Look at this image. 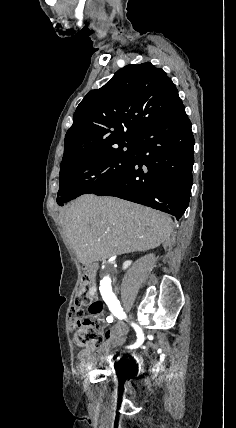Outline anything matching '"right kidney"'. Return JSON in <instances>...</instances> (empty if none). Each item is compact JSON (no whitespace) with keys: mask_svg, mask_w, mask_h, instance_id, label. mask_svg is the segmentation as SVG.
<instances>
[{"mask_svg":"<svg viewBox=\"0 0 236 428\" xmlns=\"http://www.w3.org/2000/svg\"><path fill=\"white\" fill-rule=\"evenodd\" d=\"M131 264H132L131 260H126V262H124L123 264V270H127V268L131 266ZM94 292H96L95 288H91L89 292L90 296H94Z\"/></svg>","mask_w":236,"mask_h":428,"instance_id":"right-kidney-1","label":"right kidney"}]
</instances>
